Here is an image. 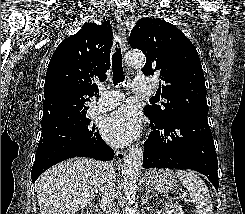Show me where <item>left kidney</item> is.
<instances>
[{"label": "left kidney", "mask_w": 245, "mask_h": 214, "mask_svg": "<svg viewBox=\"0 0 245 214\" xmlns=\"http://www.w3.org/2000/svg\"><path fill=\"white\" fill-rule=\"evenodd\" d=\"M171 213L173 214H184V212L182 211L181 207H179L178 205H168Z\"/></svg>", "instance_id": "5707ae66"}]
</instances>
